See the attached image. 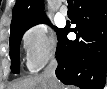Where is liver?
I'll return each mask as SVG.
<instances>
[{
  "mask_svg": "<svg viewBox=\"0 0 107 89\" xmlns=\"http://www.w3.org/2000/svg\"><path fill=\"white\" fill-rule=\"evenodd\" d=\"M49 80L42 74L27 77L13 83L9 89H50ZM56 89H71L57 81Z\"/></svg>",
  "mask_w": 107,
  "mask_h": 89,
  "instance_id": "6515ba94",
  "label": "liver"
}]
</instances>
